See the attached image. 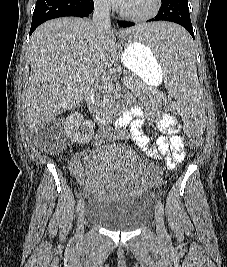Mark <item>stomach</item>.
Returning <instances> with one entry per match:
<instances>
[{"mask_svg":"<svg viewBox=\"0 0 227 267\" xmlns=\"http://www.w3.org/2000/svg\"><path fill=\"white\" fill-rule=\"evenodd\" d=\"M123 64L149 86H156L163 77L164 59H155L151 47L144 43H126Z\"/></svg>","mask_w":227,"mask_h":267,"instance_id":"obj_1","label":"stomach"}]
</instances>
